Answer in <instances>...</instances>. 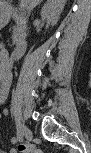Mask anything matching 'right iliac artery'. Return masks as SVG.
<instances>
[{"instance_id":"82829eb1","label":"right iliac artery","mask_w":91,"mask_h":153,"mask_svg":"<svg viewBox=\"0 0 91 153\" xmlns=\"http://www.w3.org/2000/svg\"><path fill=\"white\" fill-rule=\"evenodd\" d=\"M15 120H16V123H17L16 117H15ZM17 138H18L19 141H23V135H22V133L20 132L18 126H17Z\"/></svg>"}]
</instances>
